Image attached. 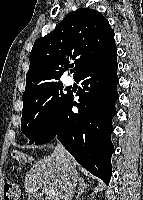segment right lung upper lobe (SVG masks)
<instances>
[{"mask_svg": "<svg viewBox=\"0 0 143 200\" xmlns=\"http://www.w3.org/2000/svg\"><path fill=\"white\" fill-rule=\"evenodd\" d=\"M114 48V31L103 15L87 8L71 12L52 32L35 41L24 93L59 82L71 65H75L71 70L75 78L85 66Z\"/></svg>", "mask_w": 143, "mask_h": 200, "instance_id": "right-lung-upper-lobe-1", "label": "right lung upper lobe"}]
</instances>
